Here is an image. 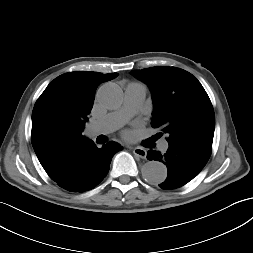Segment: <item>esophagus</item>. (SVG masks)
I'll use <instances>...</instances> for the list:
<instances>
[{
	"label": "esophagus",
	"mask_w": 253,
	"mask_h": 253,
	"mask_svg": "<svg viewBox=\"0 0 253 253\" xmlns=\"http://www.w3.org/2000/svg\"><path fill=\"white\" fill-rule=\"evenodd\" d=\"M134 155L142 158V159H146V156H147V151L142 148V147H135L132 149Z\"/></svg>",
	"instance_id": "34e87169"
}]
</instances>
